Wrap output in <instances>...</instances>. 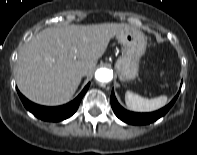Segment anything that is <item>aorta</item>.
I'll return each instance as SVG.
<instances>
[{"label":"aorta","mask_w":197,"mask_h":155,"mask_svg":"<svg viewBox=\"0 0 197 155\" xmlns=\"http://www.w3.org/2000/svg\"><path fill=\"white\" fill-rule=\"evenodd\" d=\"M113 74L111 70L100 68L95 72V79L97 84L103 86L112 80Z\"/></svg>","instance_id":"aorta-1"}]
</instances>
